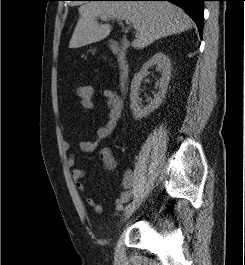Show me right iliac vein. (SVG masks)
Wrapping results in <instances>:
<instances>
[{
    "label": "right iliac vein",
    "instance_id": "1",
    "mask_svg": "<svg viewBox=\"0 0 245 265\" xmlns=\"http://www.w3.org/2000/svg\"><path fill=\"white\" fill-rule=\"evenodd\" d=\"M140 202L139 200H135L132 203H130L124 210V219L129 218L139 207Z\"/></svg>",
    "mask_w": 245,
    "mask_h": 265
}]
</instances>
